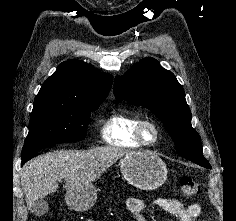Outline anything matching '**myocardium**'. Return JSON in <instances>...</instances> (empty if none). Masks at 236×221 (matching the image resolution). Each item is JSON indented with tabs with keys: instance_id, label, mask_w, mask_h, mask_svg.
Returning <instances> with one entry per match:
<instances>
[{
	"instance_id": "myocardium-1",
	"label": "myocardium",
	"mask_w": 236,
	"mask_h": 221,
	"mask_svg": "<svg viewBox=\"0 0 236 221\" xmlns=\"http://www.w3.org/2000/svg\"><path fill=\"white\" fill-rule=\"evenodd\" d=\"M146 127H151L154 131V138L147 140L144 135ZM161 137V129L159 125L152 119H141L135 129V138L142 146H154Z\"/></svg>"
}]
</instances>
